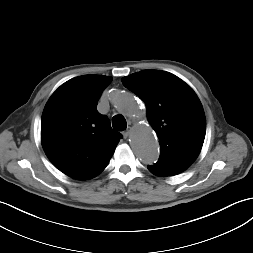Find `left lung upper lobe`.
<instances>
[{
  "label": "left lung upper lobe",
  "instance_id": "1",
  "mask_svg": "<svg viewBox=\"0 0 253 253\" xmlns=\"http://www.w3.org/2000/svg\"><path fill=\"white\" fill-rule=\"evenodd\" d=\"M122 83L145 102L161 147L155 165L186 170L199 155L206 133L204 111L195 92L161 70H143L123 77Z\"/></svg>",
  "mask_w": 253,
  "mask_h": 253
}]
</instances>
